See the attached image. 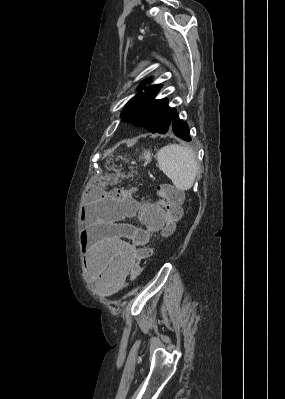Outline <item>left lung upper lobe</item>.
<instances>
[{
    "instance_id": "left-lung-upper-lobe-1",
    "label": "left lung upper lobe",
    "mask_w": 285,
    "mask_h": 399,
    "mask_svg": "<svg viewBox=\"0 0 285 399\" xmlns=\"http://www.w3.org/2000/svg\"><path fill=\"white\" fill-rule=\"evenodd\" d=\"M148 81L142 82L140 86L144 88V92L140 91L126 104L122 112V121L146 128L151 133L165 134L176 109L168 106L166 98L155 100L161 86L153 85L145 88Z\"/></svg>"
}]
</instances>
